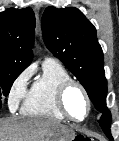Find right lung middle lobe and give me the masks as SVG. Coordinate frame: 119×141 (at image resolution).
<instances>
[{"label": "right lung middle lobe", "instance_id": "obj_1", "mask_svg": "<svg viewBox=\"0 0 119 141\" xmlns=\"http://www.w3.org/2000/svg\"><path fill=\"white\" fill-rule=\"evenodd\" d=\"M21 71L7 70L0 71V108L2 96H7L15 79L20 75Z\"/></svg>", "mask_w": 119, "mask_h": 141}]
</instances>
